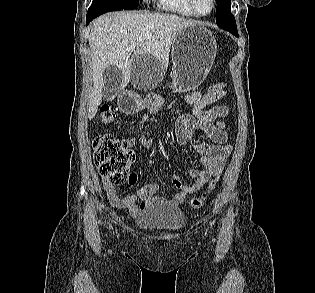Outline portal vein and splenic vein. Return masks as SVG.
Returning a JSON list of instances; mask_svg holds the SVG:
<instances>
[{
    "instance_id": "obj_1",
    "label": "portal vein and splenic vein",
    "mask_w": 315,
    "mask_h": 293,
    "mask_svg": "<svg viewBox=\"0 0 315 293\" xmlns=\"http://www.w3.org/2000/svg\"><path fill=\"white\" fill-rule=\"evenodd\" d=\"M137 44L136 43H132L131 46L129 47V50L133 51L135 50Z\"/></svg>"
}]
</instances>
